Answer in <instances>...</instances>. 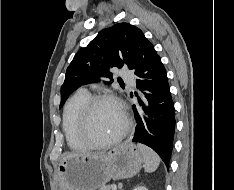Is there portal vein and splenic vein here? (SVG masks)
I'll return each mask as SVG.
<instances>
[{"label":"portal vein and splenic vein","instance_id":"obj_1","mask_svg":"<svg viewBox=\"0 0 234 190\" xmlns=\"http://www.w3.org/2000/svg\"><path fill=\"white\" fill-rule=\"evenodd\" d=\"M112 190H117V186L116 185H112Z\"/></svg>","mask_w":234,"mask_h":190}]
</instances>
